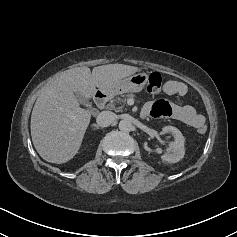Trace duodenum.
I'll list each match as a JSON object with an SVG mask.
<instances>
[{
  "label": "duodenum",
  "mask_w": 237,
  "mask_h": 237,
  "mask_svg": "<svg viewBox=\"0 0 237 237\" xmlns=\"http://www.w3.org/2000/svg\"><path fill=\"white\" fill-rule=\"evenodd\" d=\"M94 102L98 108H103L107 102V96L105 93L98 91L94 95Z\"/></svg>",
  "instance_id": "duodenum-1"
}]
</instances>
